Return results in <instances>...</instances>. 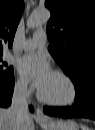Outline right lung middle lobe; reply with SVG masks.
<instances>
[{
    "label": "right lung middle lobe",
    "instance_id": "right-lung-middle-lobe-1",
    "mask_svg": "<svg viewBox=\"0 0 95 130\" xmlns=\"http://www.w3.org/2000/svg\"><path fill=\"white\" fill-rule=\"evenodd\" d=\"M0 57V84L8 82L14 78L13 67H7L6 63L1 62Z\"/></svg>",
    "mask_w": 95,
    "mask_h": 130
}]
</instances>
